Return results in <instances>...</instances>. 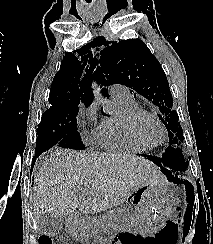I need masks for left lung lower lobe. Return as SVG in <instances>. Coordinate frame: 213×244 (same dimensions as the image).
Here are the masks:
<instances>
[{
    "mask_svg": "<svg viewBox=\"0 0 213 244\" xmlns=\"http://www.w3.org/2000/svg\"><path fill=\"white\" fill-rule=\"evenodd\" d=\"M146 157H148L149 160L153 161L155 164H157L163 171V173H165V175H167L168 179L175 183H184L187 187V189H190L191 191V195L194 194L192 185L189 183V181H187L186 179H184L181 176H178L173 168H174V164H173V159L172 156L170 154V152H168L167 150L159 157L157 156H149V155H144ZM189 231V230H188Z\"/></svg>",
    "mask_w": 213,
    "mask_h": 244,
    "instance_id": "0a47b994",
    "label": "left lung lower lobe"
}]
</instances>
